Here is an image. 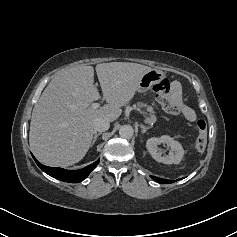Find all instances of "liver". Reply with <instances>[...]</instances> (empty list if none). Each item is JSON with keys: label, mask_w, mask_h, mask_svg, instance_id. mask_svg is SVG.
I'll return each instance as SVG.
<instances>
[{"label": "liver", "mask_w": 237, "mask_h": 237, "mask_svg": "<svg viewBox=\"0 0 237 237\" xmlns=\"http://www.w3.org/2000/svg\"><path fill=\"white\" fill-rule=\"evenodd\" d=\"M107 104L93 109L100 98L94 68L79 65L61 70L48 84L32 112L29 144L36 158L48 166L79 162L91 146L96 118L113 122L137 91L141 77L151 70L137 63L111 62L95 68Z\"/></svg>", "instance_id": "6515ba94"}]
</instances>
